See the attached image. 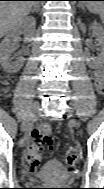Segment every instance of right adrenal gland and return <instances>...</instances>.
Here are the masks:
<instances>
[{
	"label": "right adrenal gland",
	"instance_id": "right-adrenal-gland-1",
	"mask_svg": "<svg viewBox=\"0 0 104 189\" xmlns=\"http://www.w3.org/2000/svg\"><path fill=\"white\" fill-rule=\"evenodd\" d=\"M39 8L38 6H34L33 9H31V13L38 12Z\"/></svg>",
	"mask_w": 104,
	"mask_h": 189
}]
</instances>
